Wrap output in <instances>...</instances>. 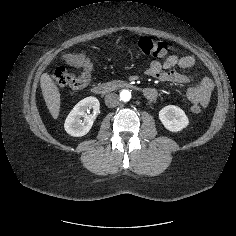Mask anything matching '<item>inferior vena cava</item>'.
Masks as SVG:
<instances>
[{
  "label": "inferior vena cava",
  "instance_id": "inferior-vena-cava-1",
  "mask_svg": "<svg viewBox=\"0 0 236 236\" xmlns=\"http://www.w3.org/2000/svg\"><path fill=\"white\" fill-rule=\"evenodd\" d=\"M105 104L110 107H116L119 104V97L115 93H109L105 96Z\"/></svg>",
  "mask_w": 236,
  "mask_h": 236
}]
</instances>
